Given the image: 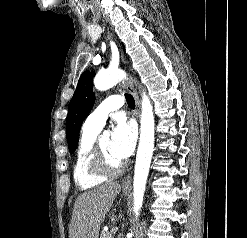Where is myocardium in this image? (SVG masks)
Wrapping results in <instances>:
<instances>
[{
    "instance_id": "f54148a6",
    "label": "myocardium",
    "mask_w": 247,
    "mask_h": 238,
    "mask_svg": "<svg viewBox=\"0 0 247 238\" xmlns=\"http://www.w3.org/2000/svg\"><path fill=\"white\" fill-rule=\"evenodd\" d=\"M126 162L122 161L119 165H112L105 156L100 141L95 142L93 155L90 162L91 171L98 176L106 178L120 175L126 168Z\"/></svg>"
}]
</instances>
